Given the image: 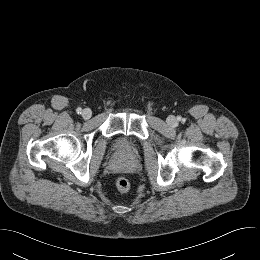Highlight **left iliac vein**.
<instances>
[{"label": "left iliac vein", "mask_w": 260, "mask_h": 260, "mask_svg": "<svg viewBox=\"0 0 260 260\" xmlns=\"http://www.w3.org/2000/svg\"><path fill=\"white\" fill-rule=\"evenodd\" d=\"M176 119H175V117L174 116H170L169 118H168V124L169 125H171V126H174L175 124H176Z\"/></svg>", "instance_id": "left-iliac-vein-1"}]
</instances>
